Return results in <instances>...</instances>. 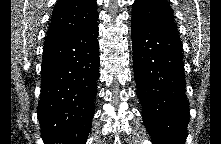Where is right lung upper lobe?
Returning <instances> with one entry per match:
<instances>
[{"mask_svg":"<svg viewBox=\"0 0 221 144\" xmlns=\"http://www.w3.org/2000/svg\"><path fill=\"white\" fill-rule=\"evenodd\" d=\"M97 20L96 0H59L52 13L44 48L87 31Z\"/></svg>","mask_w":221,"mask_h":144,"instance_id":"1","label":"right lung upper lobe"}]
</instances>
